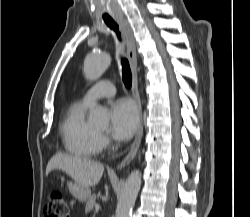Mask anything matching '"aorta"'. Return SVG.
<instances>
[{
	"label": "aorta",
	"mask_w": 250,
	"mask_h": 217,
	"mask_svg": "<svg viewBox=\"0 0 250 217\" xmlns=\"http://www.w3.org/2000/svg\"><path fill=\"white\" fill-rule=\"evenodd\" d=\"M110 64V56L105 52H92L84 61L83 72L87 79L96 80L101 77ZM90 120L97 125L108 124L107 111L98 106L90 116ZM141 185V173L136 170L126 179L122 194L118 200L116 217H131L136 198Z\"/></svg>",
	"instance_id": "obj_1"
}]
</instances>
